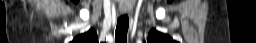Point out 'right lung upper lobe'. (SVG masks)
I'll return each mask as SVG.
<instances>
[{
    "label": "right lung upper lobe",
    "instance_id": "obj_1",
    "mask_svg": "<svg viewBox=\"0 0 256 43\" xmlns=\"http://www.w3.org/2000/svg\"><path fill=\"white\" fill-rule=\"evenodd\" d=\"M71 43H98V37L93 29L74 38Z\"/></svg>",
    "mask_w": 256,
    "mask_h": 43
}]
</instances>
